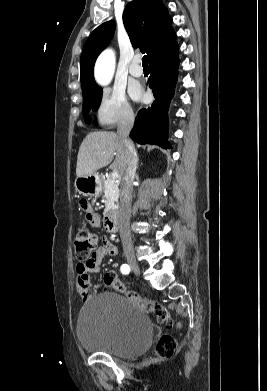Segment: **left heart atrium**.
Masks as SVG:
<instances>
[{
  "instance_id": "left-heart-atrium-1",
  "label": "left heart atrium",
  "mask_w": 267,
  "mask_h": 391,
  "mask_svg": "<svg viewBox=\"0 0 267 391\" xmlns=\"http://www.w3.org/2000/svg\"><path fill=\"white\" fill-rule=\"evenodd\" d=\"M131 95L136 99L140 98L141 97L140 88L139 87H132L131 88Z\"/></svg>"
}]
</instances>
